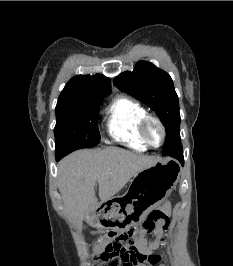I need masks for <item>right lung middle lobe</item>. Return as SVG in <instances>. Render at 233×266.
I'll return each instance as SVG.
<instances>
[{"label":"right lung middle lobe","instance_id":"obj_1","mask_svg":"<svg viewBox=\"0 0 233 266\" xmlns=\"http://www.w3.org/2000/svg\"><path fill=\"white\" fill-rule=\"evenodd\" d=\"M103 98L58 101L55 109V155L96 146L100 141L97 126L99 106Z\"/></svg>","mask_w":233,"mask_h":266}]
</instances>
